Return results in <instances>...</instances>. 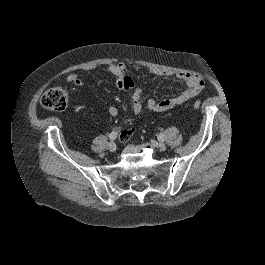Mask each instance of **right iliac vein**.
Masks as SVG:
<instances>
[{
	"mask_svg": "<svg viewBox=\"0 0 265 265\" xmlns=\"http://www.w3.org/2000/svg\"><path fill=\"white\" fill-rule=\"evenodd\" d=\"M108 149L111 151V152H115L116 149H117V146L114 142H111L109 145H108Z\"/></svg>",
	"mask_w": 265,
	"mask_h": 265,
	"instance_id": "right-iliac-vein-1",
	"label": "right iliac vein"
}]
</instances>
